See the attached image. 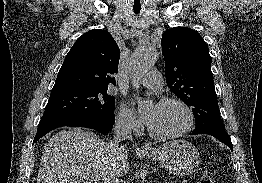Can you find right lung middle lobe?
Listing matches in <instances>:
<instances>
[{
    "label": "right lung middle lobe",
    "instance_id": "1",
    "mask_svg": "<svg viewBox=\"0 0 262 183\" xmlns=\"http://www.w3.org/2000/svg\"><path fill=\"white\" fill-rule=\"evenodd\" d=\"M108 88H78L51 92L44 115L99 117L114 115L115 99Z\"/></svg>",
    "mask_w": 262,
    "mask_h": 183
}]
</instances>
